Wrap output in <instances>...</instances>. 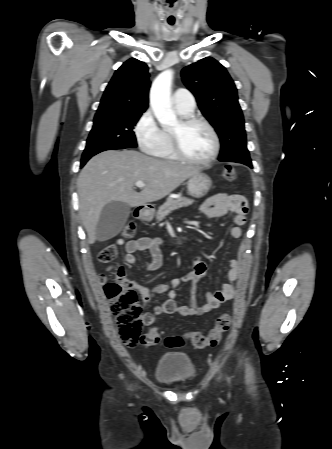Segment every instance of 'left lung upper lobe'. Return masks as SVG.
<instances>
[{
	"mask_svg": "<svg viewBox=\"0 0 332 449\" xmlns=\"http://www.w3.org/2000/svg\"><path fill=\"white\" fill-rule=\"evenodd\" d=\"M182 80L196 97L202 114L215 128L221 142L219 160L251 163L244 118L236 86L226 68L206 57L182 70Z\"/></svg>",
	"mask_w": 332,
	"mask_h": 449,
	"instance_id": "1",
	"label": "left lung upper lobe"
}]
</instances>
